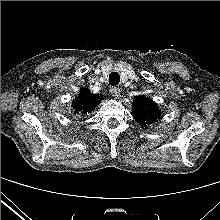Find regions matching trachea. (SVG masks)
<instances>
[{"label":"trachea","mask_w":220,"mask_h":220,"mask_svg":"<svg viewBox=\"0 0 220 220\" xmlns=\"http://www.w3.org/2000/svg\"><path fill=\"white\" fill-rule=\"evenodd\" d=\"M120 82V75L117 72H111L109 75V83L112 86L118 85Z\"/></svg>","instance_id":"1"}]
</instances>
